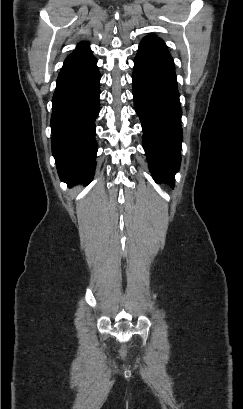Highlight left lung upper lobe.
<instances>
[{
	"instance_id": "5c2ea615",
	"label": "left lung upper lobe",
	"mask_w": 243,
	"mask_h": 409,
	"mask_svg": "<svg viewBox=\"0 0 243 409\" xmlns=\"http://www.w3.org/2000/svg\"><path fill=\"white\" fill-rule=\"evenodd\" d=\"M157 39H160V38H158L155 35H149V36L145 37L142 42L152 41V40H157Z\"/></svg>"
}]
</instances>
